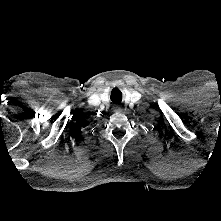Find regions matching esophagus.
Returning <instances> with one entry per match:
<instances>
[{
    "mask_svg": "<svg viewBox=\"0 0 221 221\" xmlns=\"http://www.w3.org/2000/svg\"><path fill=\"white\" fill-rule=\"evenodd\" d=\"M113 109H114L115 111H121V110H122L121 107L118 106V105H115V106L113 107Z\"/></svg>",
    "mask_w": 221,
    "mask_h": 221,
    "instance_id": "esophagus-1",
    "label": "esophagus"
}]
</instances>
